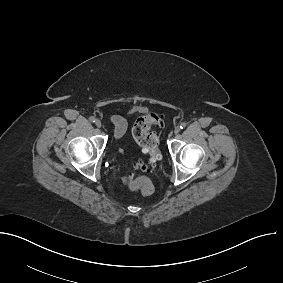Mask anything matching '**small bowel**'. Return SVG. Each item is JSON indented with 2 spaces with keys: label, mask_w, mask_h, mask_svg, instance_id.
<instances>
[{
  "label": "small bowel",
  "mask_w": 283,
  "mask_h": 283,
  "mask_svg": "<svg viewBox=\"0 0 283 283\" xmlns=\"http://www.w3.org/2000/svg\"><path fill=\"white\" fill-rule=\"evenodd\" d=\"M111 122L114 125V136L116 139H123L127 131V121L120 115L111 117Z\"/></svg>",
  "instance_id": "c3829d8e"
}]
</instances>
